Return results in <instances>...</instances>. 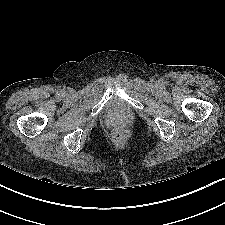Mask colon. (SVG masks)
<instances>
[{
  "label": "colon",
  "mask_w": 225,
  "mask_h": 225,
  "mask_svg": "<svg viewBox=\"0 0 225 225\" xmlns=\"http://www.w3.org/2000/svg\"><path fill=\"white\" fill-rule=\"evenodd\" d=\"M126 135H127V133H126V131H124V130H115L114 132H113V136H114V138L115 139H117V140H123L125 137H126Z\"/></svg>",
  "instance_id": "obj_1"
}]
</instances>
